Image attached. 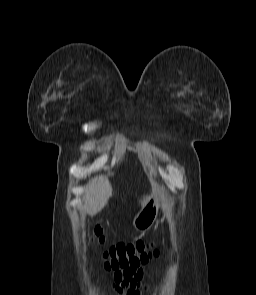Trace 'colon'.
Here are the masks:
<instances>
[{
	"label": "colon",
	"mask_w": 256,
	"mask_h": 295,
	"mask_svg": "<svg viewBox=\"0 0 256 295\" xmlns=\"http://www.w3.org/2000/svg\"><path fill=\"white\" fill-rule=\"evenodd\" d=\"M92 240L99 244L104 242L103 230L100 226L91 229ZM159 255L153 242L139 240L128 244L111 246L104 252L105 267L108 270L138 269Z\"/></svg>",
	"instance_id": "5ec220e1"
}]
</instances>
